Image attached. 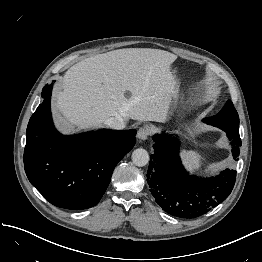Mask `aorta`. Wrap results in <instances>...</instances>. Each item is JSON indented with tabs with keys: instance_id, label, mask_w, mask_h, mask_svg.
Returning <instances> with one entry per match:
<instances>
[{
	"instance_id": "762f6f07",
	"label": "aorta",
	"mask_w": 262,
	"mask_h": 262,
	"mask_svg": "<svg viewBox=\"0 0 262 262\" xmlns=\"http://www.w3.org/2000/svg\"><path fill=\"white\" fill-rule=\"evenodd\" d=\"M132 161L136 166L143 167L149 162V154L143 148L135 149L132 153Z\"/></svg>"
}]
</instances>
